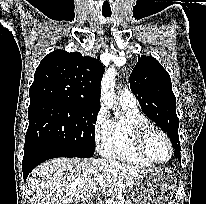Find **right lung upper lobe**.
<instances>
[{
  "label": "right lung upper lobe",
  "mask_w": 206,
  "mask_h": 204,
  "mask_svg": "<svg viewBox=\"0 0 206 204\" xmlns=\"http://www.w3.org/2000/svg\"><path fill=\"white\" fill-rule=\"evenodd\" d=\"M101 62L79 52L55 50L41 61L30 87V101L55 100L100 108Z\"/></svg>",
  "instance_id": "right-lung-upper-lobe-1"
}]
</instances>
